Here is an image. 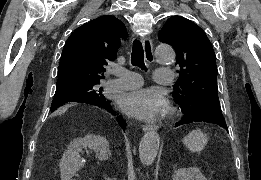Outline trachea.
<instances>
[{
  "label": "trachea",
  "instance_id": "obj_1",
  "mask_svg": "<svg viewBox=\"0 0 261 180\" xmlns=\"http://www.w3.org/2000/svg\"><path fill=\"white\" fill-rule=\"evenodd\" d=\"M131 63L134 66L140 67L142 70H146L144 64V51L140 40L135 39L133 41L132 53H131Z\"/></svg>",
  "mask_w": 261,
  "mask_h": 180
}]
</instances>
